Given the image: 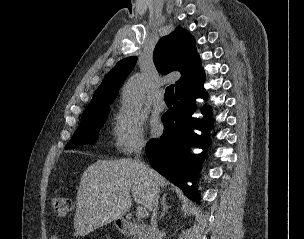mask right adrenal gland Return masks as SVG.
Returning <instances> with one entry per match:
<instances>
[{"instance_id": "1", "label": "right adrenal gland", "mask_w": 304, "mask_h": 239, "mask_svg": "<svg viewBox=\"0 0 304 239\" xmlns=\"http://www.w3.org/2000/svg\"><path fill=\"white\" fill-rule=\"evenodd\" d=\"M161 205H162V212H161V215L159 216V219L163 218L165 216L167 210L170 208V206H168L166 203V194H163V196H162Z\"/></svg>"}]
</instances>
